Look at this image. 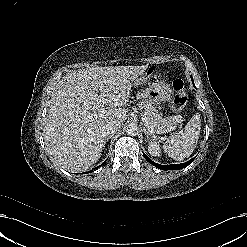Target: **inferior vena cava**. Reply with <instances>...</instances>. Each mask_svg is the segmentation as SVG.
Segmentation results:
<instances>
[{"instance_id": "inferior-vena-cava-1", "label": "inferior vena cava", "mask_w": 247, "mask_h": 247, "mask_svg": "<svg viewBox=\"0 0 247 247\" xmlns=\"http://www.w3.org/2000/svg\"><path fill=\"white\" fill-rule=\"evenodd\" d=\"M121 128L120 121H110L104 126L105 135H113Z\"/></svg>"}]
</instances>
